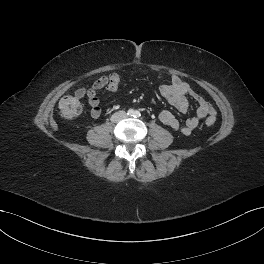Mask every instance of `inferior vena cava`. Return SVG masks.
<instances>
[{
    "label": "inferior vena cava",
    "instance_id": "obj_1",
    "mask_svg": "<svg viewBox=\"0 0 264 264\" xmlns=\"http://www.w3.org/2000/svg\"><path fill=\"white\" fill-rule=\"evenodd\" d=\"M116 116H119L118 118H115ZM126 118V113L124 111H120L118 112L117 114H115L113 117H112V120L113 121H117V120H121V119H124Z\"/></svg>",
    "mask_w": 264,
    "mask_h": 264
}]
</instances>
